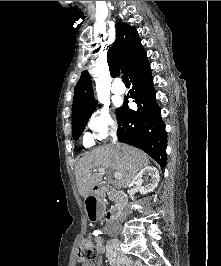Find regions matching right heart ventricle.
Here are the masks:
<instances>
[{"label": "right heart ventricle", "instance_id": "1", "mask_svg": "<svg viewBox=\"0 0 221 266\" xmlns=\"http://www.w3.org/2000/svg\"><path fill=\"white\" fill-rule=\"evenodd\" d=\"M85 144H86V145H90V144H91V139H90L89 136H86V137H85Z\"/></svg>", "mask_w": 221, "mask_h": 266}]
</instances>
